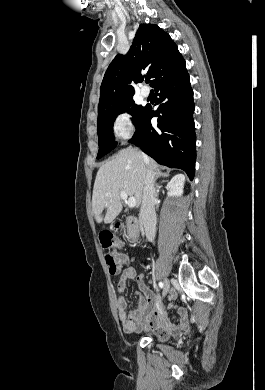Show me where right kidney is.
Wrapping results in <instances>:
<instances>
[{
    "label": "right kidney",
    "mask_w": 265,
    "mask_h": 390,
    "mask_svg": "<svg viewBox=\"0 0 265 390\" xmlns=\"http://www.w3.org/2000/svg\"><path fill=\"white\" fill-rule=\"evenodd\" d=\"M185 182V176L183 174H177L167 184L169 197H180L183 194V187Z\"/></svg>",
    "instance_id": "obj_1"
}]
</instances>
